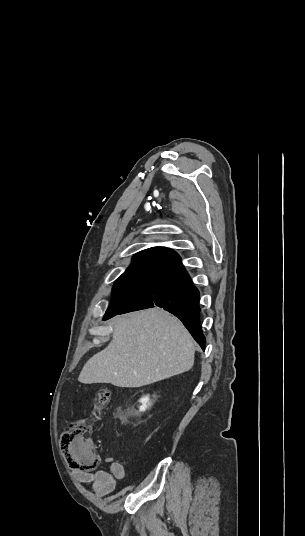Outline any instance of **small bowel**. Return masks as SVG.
<instances>
[{
    "label": "small bowel",
    "mask_w": 305,
    "mask_h": 536,
    "mask_svg": "<svg viewBox=\"0 0 305 536\" xmlns=\"http://www.w3.org/2000/svg\"><path fill=\"white\" fill-rule=\"evenodd\" d=\"M76 478L83 483H90L97 496L103 497L112 493L117 481L125 477V470L120 462L114 461L110 464L108 471L93 470L83 472L75 470Z\"/></svg>",
    "instance_id": "c3829d8e"
}]
</instances>
